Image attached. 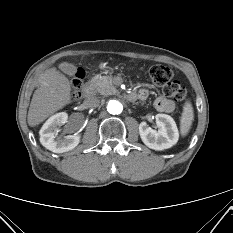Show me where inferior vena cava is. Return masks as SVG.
Masks as SVG:
<instances>
[{
	"instance_id": "1",
	"label": "inferior vena cava",
	"mask_w": 233,
	"mask_h": 233,
	"mask_svg": "<svg viewBox=\"0 0 233 233\" xmlns=\"http://www.w3.org/2000/svg\"><path fill=\"white\" fill-rule=\"evenodd\" d=\"M84 102H85V105L89 108L98 107L100 104V100L96 96H90V97L86 98V100Z\"/></svg>"
}]
</instances>
